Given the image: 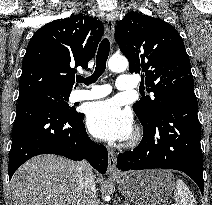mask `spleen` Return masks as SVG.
<instances>
[{
	"mask_svg": "<svg viewBox=\"0 0 212 205\" xmlns=\"http://www.w3.org/2000/svg\"><path fill=\"white\" fill-rule=\"evenodd\" d=\"M175 205H196V200L187 185L181 180H176L174 188Z\"/></svg>",
	"mask_w": 212,
	"mask_h": 205,
	"instance_id": "1",
	"label": "spleen"
}]
</instances>
